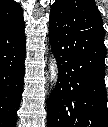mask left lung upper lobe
Segmentation results:
<instances>
[{"label": "left lung upper lobe", "instance_id": "obj_1", "mask_svg": "<svg viewBox=\"0 0 108 127\" xmlns=\"http://www.w3.org/2000/svg\"><path fill=\"white\" fill-rule=\"evenodd\" d=\"M76 65H69L68 67H67V71H66V73H65V75H67V79H68V85H70V86H74V84H76L75 82H76V67H75Z\"/></svg>", "mask_w": 108, "mask_h": 127}]
</instances>
